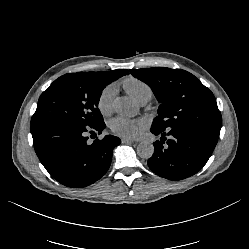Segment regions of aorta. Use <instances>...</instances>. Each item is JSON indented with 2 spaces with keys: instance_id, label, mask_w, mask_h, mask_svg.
<instances>
[{
  "instance_id": "aorta-1",
  "label": "aorta",
  "mask_w": 249,
  "mask_h": 249,
  "mask_svg": "<svg viewBox=\"0 0 249 249\" xmlns=\"http://www.w3.org/2000/svg\"><path fill=\"white\" fill-rule=\"evenodd\" d=\"M114 110L122 116H134L137 108L133 102L127 97H117L113 102ZM137 154L139 157L149 159L154 154V146L152 143L143 141L137 146Z\"/></svg>"
}]
</instances>
